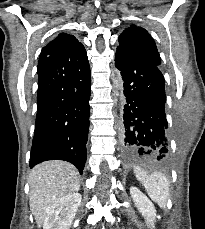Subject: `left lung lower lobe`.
Instances as JSON below:
<instances>
[{"label": "left lung lower lobe", "mask_w": 205, "mask_h": 229, "mask_svg": "<svg viewBox=\"0 0 205 229\" xmlns=\"http://www.w3.org/2000/svg\"><path fill=\"white\" fill-rule=\"evenodd\" d=\"M115 66L124 81L122 148L126 156L149 155L157 162L169 156L164 77L159 66L117 47Z\"/></svg>", "instance_id": "0a47b994"}]
</instances>
